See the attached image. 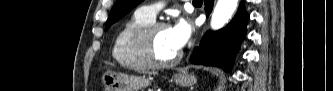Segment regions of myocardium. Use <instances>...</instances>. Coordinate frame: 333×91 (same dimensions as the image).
Returning a JSON list of instances; mask_svg holds the SVG:
<instances>
[{
  "label": "myocardium",
  "instance_id": "1",
  "mask_svg": "<svg viewBox=\"0 0 333 91\" xmlns=\"http://www.w3.org/2000/svg\"><path fill=\"white\" fill-rule=\"evenodd\" d=\"M161 28H168V25L164 22H153L147 27L140 30L136 36V45L138 53L144 63L151 68H167L175 65L182 57V53L179 51L172 59L163 61L159 60L154 52V34Z\"/></svg>",
  "mask_w": 333,
  "mask_h": 91
}]
</instances>
